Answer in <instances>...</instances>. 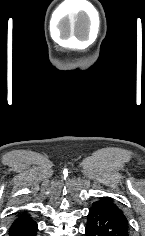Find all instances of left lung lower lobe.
Instances as JSON below:
<instances>
[{"instance_id":"0a47b994","label":"left lung lower lobe","mask_w":145,"mask_h":236,"mask_svg":"<svg viewBox=\"0 0 145 236\" xmlns=\"http://www.w3.org/2000/svg\"><path fill=\"white\" fill-rule=\"evenodd\" d=\"M86 236H129L128 226L98 208L89 210Z\"/></svg>"}]
</instances>
